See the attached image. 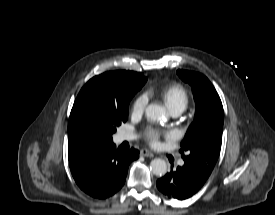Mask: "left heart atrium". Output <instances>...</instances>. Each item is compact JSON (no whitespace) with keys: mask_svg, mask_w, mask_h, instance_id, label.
<instances>
[{"mask_svg":"<svg viewBox=\"0 0 275 215\" xmlns=\"http://www.w3.org/2000/svg\"><path fill=\"white\" fill-rule=\"evenodd\" d=\"M162 134H163L162 131L155 128L146 129V137L152 145H156L158 143Z\"/></svg>","mask_w":275,"mask_h":215,"instance_id":"obj_1","label":"left heart atrium"}]
</instances>
